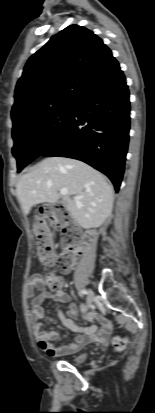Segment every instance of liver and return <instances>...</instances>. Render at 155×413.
<instances>
[{"mask_svg":"<svg viewBox=\"0 0 155 413\" xmlns=\"http://www.w3.org/2000/svg\"><path fill=\"white\" fill-rule=\"evenodd\" d=\"M62 188H67V195L59 193ZM16 194L26 215L37 204L54 203L62 198L71 217L84 229L101 226L112 212L114 199L113 186L103 174L84 162L66 157L42 160L20 178ZM75 197L81 198L75 200Z\"/></svg>","mask_w":155,"mask_h":413,"instance_id":"1","label":"liver"}]
</instances>
